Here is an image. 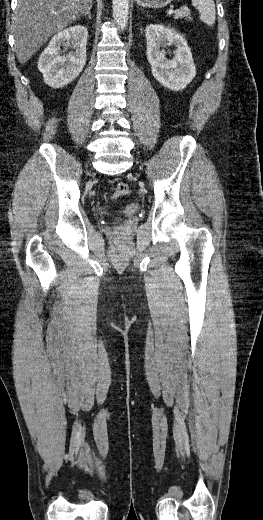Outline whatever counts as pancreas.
<instances>
[{
  "mask_svg": "<svg viewBox=\"0 0 263 520\" xmlns=\"http://www.w3.org/2000/svg\"><path fill=\"white\" fill-rule=\"evenodd\" d=\"M175 19L179 18H185L186 21H189L191 19L190 11L187 9H181L180 11H177L174 16Z\"/></svg>",
  "mask_w": 263,
  "mask_h": 520,
  "instance_id": "pancreas-1",
  "label": "pancreas"
}]
</instances>
